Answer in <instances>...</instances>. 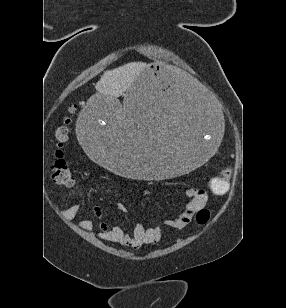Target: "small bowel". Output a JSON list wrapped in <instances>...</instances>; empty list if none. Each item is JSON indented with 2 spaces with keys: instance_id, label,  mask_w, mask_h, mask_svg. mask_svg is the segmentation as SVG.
Listing matches in <instances>:
<instances>
[{
  "instance_id": "c3829d8e",
  "label": "small bowel",
  "mask_w": 286,
  "mask_h": 308,
  "mask_svg": "<svg viewBox=\"0 0 286 308\" xmlns=\"http://www.w3.org/2000/svg\"><path fill=\"white\" fill-rule=\"evenodd\" d=\"M149 194V192H146ZM186 196L189 198L183 212L176 218L169 219L165 222V225L174 229H184L192 221L195 213L204 207L207 202V193L197 187H189L186 190ZM116 208L121 212H127V207L123 203H117ZM81 209L80 204H74L67 208L63 214L65 219L75 218ZM95 213L100 215V207L96 205ZM94 226L92 219L83 220L79 223V227L82 230H90ZM100 237L107 241L117 242L125 247L138 249L144 245H154L158 243L162 237V228L160 226L146 228L141 223H137L132 232L128 233L119 226L108 228L106 225H101Z\"/></svg>"
}]
</instances>
